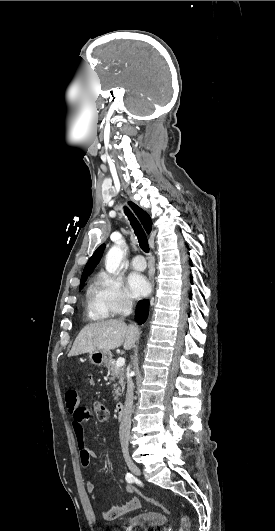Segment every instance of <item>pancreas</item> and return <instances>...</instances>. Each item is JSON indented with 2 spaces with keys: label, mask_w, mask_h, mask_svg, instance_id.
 I'll list each match as a JSON object with an SVG mask.
<instances>
[{
  "label": "pancreas",
  "mask_w": 275,
  "mask_h": 531,
  "mask_svg": "<svg viewBox=\"0 0 275 531\" xmlns=\"http://www.w3.org/2000/svg\"><path fill=\"white\" fill-rule=\"evenodd\" d=\"M108 367L111 375H110V381H115V385H113V397L114 401H118V397H121L122 391H124V387L126 385L125 383V371L124 367H117L116 363H109V365H106ZM122 387V391H121Z\"/></svg>",
  "instance_id": "1"
}]
</instances>
